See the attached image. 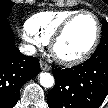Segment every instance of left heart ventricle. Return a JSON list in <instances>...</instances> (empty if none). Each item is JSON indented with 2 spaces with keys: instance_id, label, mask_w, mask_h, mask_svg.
Listing matches in <instances>:
<instances>
[{
  "instance_id": "obj_1",
  "label": "left heart ventricle",
  "mask_w": 108,
  "mask_h": 108,
  "mask_svg": "<svg viewBox=\"0 0 108 108\" xmlns=\"http://www.w3.org/2000/svg\"><path fill=\"white\" fill-rule=\"evenodd\" d=\"M96 34V24L91 16L77 18L67 29L57 44V52L67 58L84 53L91 45Z\"/></svg>"
}]
</instances>
